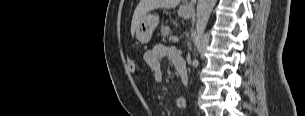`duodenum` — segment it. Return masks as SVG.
<instances>
[{
    "mask_svg": "<svg viewBox=\"0 0 305 116\" xmlns=\"http://www.w3.org/2000/svg\"><path fill=\"white\" fill-rule=\"evenodd\" d=\"M174 64L178 71L182 84L186 86L188 83V73L185 60L180 57L174 61Z\"/></svg>",
    "mask_w": 305,
    "mask_h": 116,
    "instance_id": "obj_1",
    "label": "duodenum"
}]
</instances>
